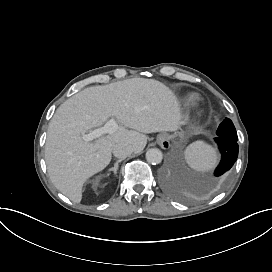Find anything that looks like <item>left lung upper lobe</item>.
Returning a JSON list of instances; mask_svg holds the SVG:
<instances>
[{
	"label": "left lung upper lobe",
	"instance_id": "obj_1",
	"mask_svg": "<svg viewBox=\"0 0 272 272\" xmlns=\"http://www.w3.org/2000/svg\"><path fill=\"white\" fill-rule=\"evenodd\" d=\"M217 135L231 140H238L237 132L232 121L226 118L218 127Z\"/></svg>",
	"mask_w": 272,
	"mask_h": 272
}]
</instances>
